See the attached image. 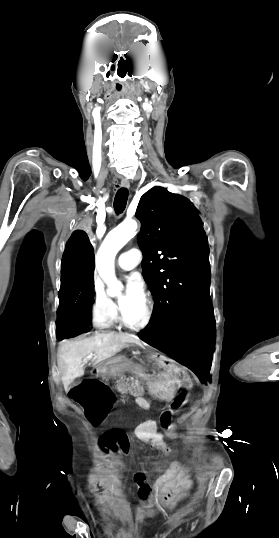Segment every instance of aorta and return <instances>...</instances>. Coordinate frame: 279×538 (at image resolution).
Returning <instances> with one entry per match:
<instances>
[{
	"label": "aorta",
	"mask_w": 279,
	"mask_h": 538,
	"mask_svg": "<svg viewBox=\"0 0 279 538\" xmlns=\"http://www.w3.org/2000/svg\"><path fill=\"white\" fill-rule=\"evenodd\" d=\"M135 220L124 221L105 237L96 256V268L100 277L107 284L110 297L120 296L123 285L115 276L114 260L118 251L136 234Z\"/></svg>",
	"instance_id": "aorta-1"
}]
</instances>
